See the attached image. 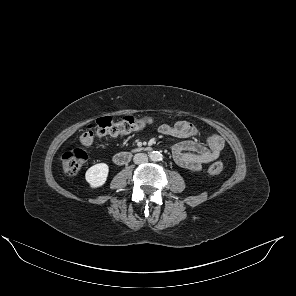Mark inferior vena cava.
<instances>
[{
  "label": "inferior vena cava",
  "mask_w": 296,
  "mask_h": 296,
  "mask_svg": "<svg viewBox=\"0 0 296 296\" xmlns=\"http://www.w3.org/2000/svg\"><path fill=\"white\" fill-rule=\"evenodd\" d=\"M133 161L135 164H144L148 162V156L144 153H137L134 155Z\"/></svg>",
  "instance_id": "1"
}]
</instances>
